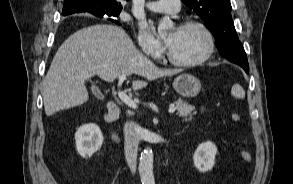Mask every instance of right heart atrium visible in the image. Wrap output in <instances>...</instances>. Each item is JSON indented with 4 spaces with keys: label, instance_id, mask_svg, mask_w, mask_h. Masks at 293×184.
<instances>
[{
    "label": "right heart atrium",
    "instance_id": "obj_1",
    "mask_svg": "<svg viewBox=\"0 0 293 184\" xmlns=\"http://www.w3.org/2000/svg\"><path fill=\"white\" fill-rule=\"evenodd\" d=\"M137 39L141 50L145 54L154 58L162 54L163 48L160 42L144 26L140 27Z\"/></svg>",
    "mask_w": 293,
    "mask_h": 184
}]
</instances>
